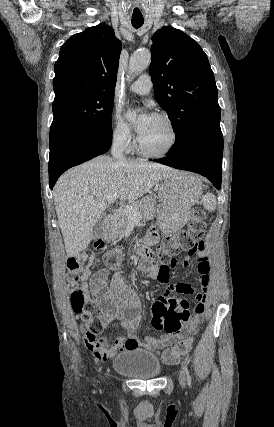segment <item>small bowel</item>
Masks as SVG:
<instances>
[{"label":"small bowel","mask_w":274,"mask_h":427,"mask_svg":"<svg viewBox=\"0 0 274 427\" xmlns=\"http://www.w3.org/2000/svg\"><path fill=\"white\" fill-rule=\"evenodd\" d=\"M157 239V231L152 228L147 238V244L152 245ZM195 250L198 255V271L200 276L189 275L184 280H176L174 285L170 278L176 275V266L166 264L164 269L153 262H146L143 259L138 263L137 268L149 275L153 280L162 283H168L166 290L158 292L159 299H152L151 311L148 318L151 320V326L156 327L158 332H169V334L160 337L147 336L139 339L136 335L137 329L142 321L141 304L138 296L127 285L125 276L119 270L123 258L121 248H113L103 259L105 268L98 271H92L90 267H85L80 272L81 285L79 289L84 295L85 300L92 301L98 308L97 317L102 321L105 327L117 324L126 331V335L117 338L112 345H106L102 337H90L85 326H81L84 335V341L89 351L97 360L106 361L114 359L119 352H134L143 350L153 352L160 349L161 345H170L177 338H185L183 327L185 320L189 319L188 311L171 310H191L192 319L186 327V331L197 332L198 324L201 322L205 311V300L209 286V276L202 279L201 273H207L209 266L202 264L207 260L204 247L198 244ZM193 248L187 251L190 257L196 254ZM188 260L182 265L187 266ZM117 269L110 287L107 286L108 270ZM160 276V277H159ZM163 278V279H161ZM200 282L201 290L196 294V303L191 301H182L179 294H189L192 291L191 284ZM177 292V293H176ZM164 313H166L167 323H165ZM196 318L195 320L193 318Z\"/></svg>","instance_id":"obj_1"}]
</instances>
